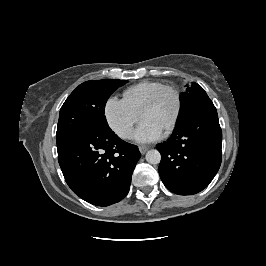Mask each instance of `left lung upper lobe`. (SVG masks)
<instances>
[{
    "label": "left lung upper lobe",
    "instance_id": "5c2ea615",
    "mask_svg": "<svg viewBox=\"0 0 266 266\" xmlns=\"http://www.w3.org/2000/svg\"><path fill=\"white\" fill-rule=\"evenodd\" d=\"M182 111L179 118L181 121L187 114L192 112L200 104L211 101L205 90L197 83L187 87L185 92L181 93Z\"/></svg>",
    "mask_w": 266,
    "mask_h": 266
}]
</instances>
